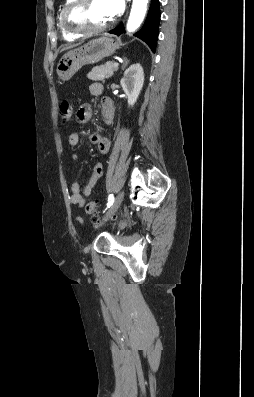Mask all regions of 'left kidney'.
I'll use <instances>...</instances> for the list:
<instances>
[{
    "instance_id": "5707ae66",
    "label": "left kidney",
    "mask_w": 254,
    "mask_h": 397,
    "mask_svg": "<svg viewBox=\"0 0 254 397\" xmlns=\"http://www.w3.org/2000/svg\"><path fill=\"white\" fill-rule=\"evenodd\" d=\"M128 99V105L133 106L138 99L144 83L143 68L139 63L131 65L125 70L120 81Z\"/></svg>"
}]
</instances>
